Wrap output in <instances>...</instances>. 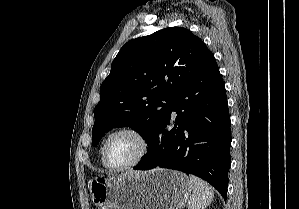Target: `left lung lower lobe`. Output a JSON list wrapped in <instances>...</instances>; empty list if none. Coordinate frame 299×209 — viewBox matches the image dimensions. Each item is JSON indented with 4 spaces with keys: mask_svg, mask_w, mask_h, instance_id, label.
<instances>
[{
    "mask_svg": "<svg viewBox=\"0 0 299 209\" xmlns=\"http://www.w3.org/2000/svg\"><path fill=\"white\" fill-rule=\"evenodd\" d=\"M172 111L177 113L169 130ZM136 170L163 167L194 174L226 200L231 129L225 86L215 58L172 97L167 114Z\"/></svg>",
    "mask_w": 299,
    "mask_h": 209,
    "instance_id": "0a47b994",
    "label": "left lung lower lobe"
}]
</instances>
